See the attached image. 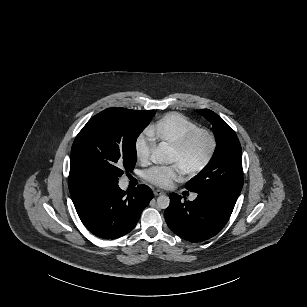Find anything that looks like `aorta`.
<instances>
[{"label": "aorta", "mask_w": 307, "mask_h": 307, "mask_svg": "<svg viewBox=\"0 0 307 307\" xmlns=\"http://www.w3.org/2000/svg\"><path fill=\"white\" fill-rule=\"evenodd\" d=\"M174 149L166 142H160L151 155V161L155 164H171L173 162ZM170 204V199L166 195L157 198V206L166 209Z\"/></svg>", "instance_id": "aorta-1"}]
</instances>
